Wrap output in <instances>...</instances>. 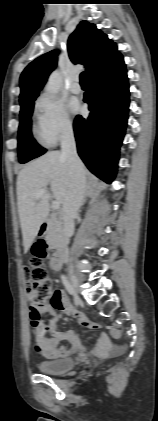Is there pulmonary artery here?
Masks as SVG:
<instances>
[{
    "mask_svg": "<svg viewBox=\"0 0 158 421\" xmlns=\"http://www.w3.org/2000/svg\"><path fill=\"white\" fill-rule=\"evenodd\" d=\"M70 90H71V92H73L75 94H78V93L81 92L82 89H81V85L79 83L78 78L74 79L73 83L70 86Z\"/></svg>",
    "mask_w": 158,
    "mask_h": 421,
    "instance_id": "1",
    "label": "pulmonary artery"
}]
</instances>
